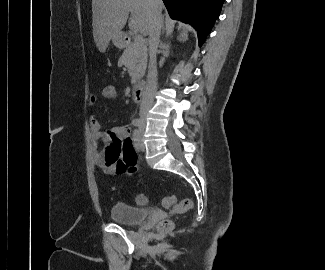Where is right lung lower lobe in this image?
<instances>
[{"mask_svg":"<svg viewBox=\"0 0 325 270\" xmlns=\"http://www.w3.org/2000/svg\"><path fill=\"white\" fill-rule=\"evenodd\" d=\"M172 19L192 25L199 44L205 41L218 18L224 0H163Z\"/></svg>","mask_w":325,"mask_h":270,"instance_id":"right-lung-lower-lobe-1","label":"right lung lower lobe"}]
</instances>
